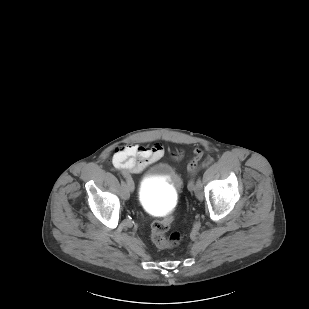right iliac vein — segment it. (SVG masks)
Returning a JSON list of instances; mask_svg holds the SVG:
<instances>
[{"instance_id": "1", "label": "right iliac vein", "mask_w": 309, "mask_h": 309, "mask_svg": "<svg viewBox=\"0 0 309 309\" xmlns=\"http://www.w3.org/2000/svg\"><path fill=\"white\" fill-rule=\"evenodd\" d=\"M134 190V187H129L128 185V181L126 179V184L124 185V198L125 199H128L129 198V195H130V192H132Z\"/></svg>"}]
</instances>
